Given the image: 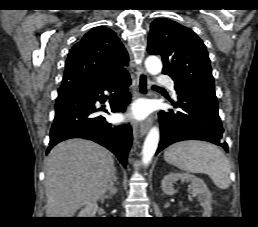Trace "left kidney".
Masks as SVG:
<instances>
[{
    "mask_svg": "<svg viewBox=\"0 0 258 227\" xmlns=\"http://www.w3.org/2000/svg\"><path fill=\"white\" fill-rule=\"evenodd\" d=\"M178 180L191 183L190 188L192 190V195L199 196L201 198L200 205L204 210L202 217H211V193L202 179L188 173L171 172L164 176L162 180V190L164 193L167 195H173L176 192L174 189V183H176Z\"/></svg>",
    "mask_w": 258,
    "mask_h": 227,
    "instance_id": "left-kidney-1",
    "label": "left kidney"
}]
</instances>
